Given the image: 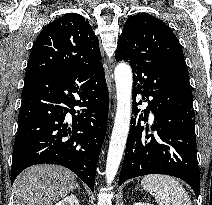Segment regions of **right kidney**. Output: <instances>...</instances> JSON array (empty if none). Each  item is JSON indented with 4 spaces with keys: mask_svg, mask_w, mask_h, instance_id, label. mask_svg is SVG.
I'll use <instances>...</instances> for the list:
<instances>
[{
    "mask_svg": "<svg viewBox=\"0 0 212 205\" xmlns=\"http://www.w3.org/2000/svg\"><path fill=\"white\" fill-rule=\"evenodd\" d=\"M55 205H79V201L77 200L76 196L70 195L63 198L60 202L56 203Z\"/></svg>",
    "mask_w": 212,
    "mask_h": 205,
    "instance_id": "1",
    "label": "right kidney"
}]
</instances>
